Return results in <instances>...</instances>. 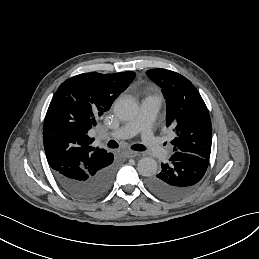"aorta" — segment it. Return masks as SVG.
I'll return each mask as SVG.
<instances>
[{
  "instance_id": "aorta-1",
  "label": "aorta",
  "mask_w": 259,
  "mask_h": 259,
  "mask_svg": "<svg viewBox=\"0 0 259 259\" xmlns=\"http://www.w3.org/2000/svg\"><path fill=\"white\" fill-rule=\"evenodd\" d=\"M138 112L137 101L129 96H122L115 101L114 113L124 121L133 119ZM138 172L145 177H150L157 172V162L151 157H142L138 161Z\"/></svg>"
}]
</instances>
